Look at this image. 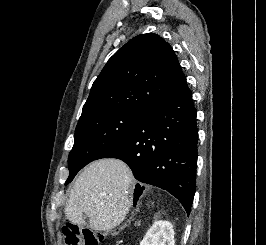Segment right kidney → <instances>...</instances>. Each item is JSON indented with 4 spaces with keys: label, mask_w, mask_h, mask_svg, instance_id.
Here are the masks:
<instances>
[{
    "label": "right kidney",
    "mask_w": 266,
    "mask_h": 245,
    "mask_svg": "<svg viewBox=\"0 0 266 245\" xmlns=\"http://www.w3.org/2000/svg\"><path fill=\"white\" fill-rule=\"evenodd\" d=\"M165 223H169V221H155L140 245H160V225H165Z\"/></svg>",
    "instance_id": "ca27d5eb"
}]
</instances>
